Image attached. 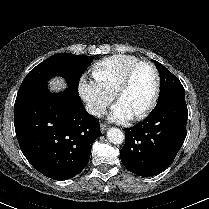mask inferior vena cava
I'll use <instances>...</instances> for the list:
<instances>
[{"mask_svg": "<svg viewBox=\"0 0 209 209\" xmlns=\"http://www.w3.org/2000/svg\"><path fill=\"white\" fill-rule=\"evenodd\" d=\"M85 109L89 114L97 117H102L106 112V108L104 105L94 102H87L85 104Z\"/></svg>", "mask_w": 209, "mask_h": 209, "instance_id": "1", "label": "inferior vena cava"}]
</instances>
